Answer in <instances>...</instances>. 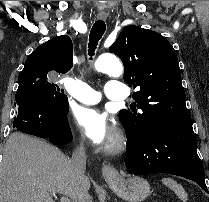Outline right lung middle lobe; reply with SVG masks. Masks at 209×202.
<instances>
[{
    "label": "right lung middle lobe",
    "mask_w": 209,
    "mask_h": 202,
    "mask_svg": "<svg viewBox=\"0 0 209 202\" xmlns=\"http://www.w3.org/2000/svg\"><path fill=\"white\" fill-rule=\"evenodd\" d=\"M18 82L20 87L31 89L38 100L50 104L58 111L67 112L69 110L68 98L64 94V90L55 84H50L47 74L19 75Z\"/></svg>",
    "instance_id": "right-lung-middle-lobe-1"
}]
</instances>
